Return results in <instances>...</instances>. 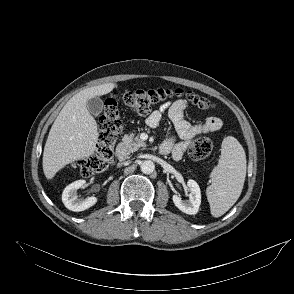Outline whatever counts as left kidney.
Here are the masks:
<instances>
[{"mask_svg": "<svg viewBox=\"0 0 294 294\" xmlns=\"http://www.w3.org/2000/svg\"><path fill=\"white\" fill-rule=\"evenodd\" d=\"M190 189L189 200H182L178 195H173V202L175 206L182 212L195 215L201 204V191L196 181L190 179L187 182Z\"/></svg>", "mask_w": 294, "mask_h": 294, "instance_id": "left-kidney-1", "label": "left kidney"}]
</instances>
